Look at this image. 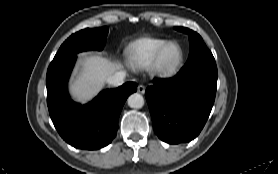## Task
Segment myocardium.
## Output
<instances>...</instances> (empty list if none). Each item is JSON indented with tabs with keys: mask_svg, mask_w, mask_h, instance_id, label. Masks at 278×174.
<instances>
[{
	"mask_svg": "<svg viewBox=\"0 0 278 174\" xmlns=\"http://www.w3.org/2000/svg\"><path fill=\"white\" fill-rule=\"evenodd\" d=\"M170 46H176L178 48L179 57L172 66L166 67L162 64V56L165 50ZM183 61H184V52L181 45L176 41H167L155 53L150 68L157 76L161 78H169L175 75L179 71V69L183 65Z\"/></svg>",
	"mask_w": 278,
	"mask_h": 174,
	"instance_id": "obj_1",
	"label": "myocardium"
}]
</instances>
